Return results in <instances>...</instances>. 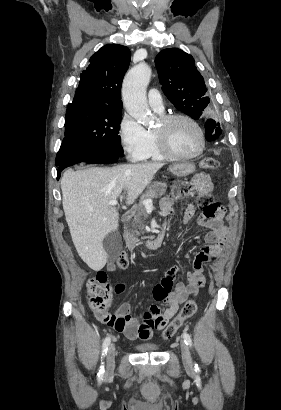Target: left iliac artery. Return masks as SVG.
I'll list each match as a JSON object with an SVG mask.
<instances>
[{
  "label": "left iliac artery",
  "instance_id": "obj_1",
  "mask_svg": "<svg viewBox=\"0 0 281 410\" xmlns=\"http://www.w3.org/2000/svg\"><path fill=\"white\" fill-rule=\"evenodd\" d=\"M183 338H184V342H185L188 346L191 347V346H192V339H191L190 335H189L188 333L184 332V333H183ZM195 368H196V369H199L197 364H195Z\"/></svg>",
  "mask_w": 281,
  "mask_h": 410
}]
</instances>
